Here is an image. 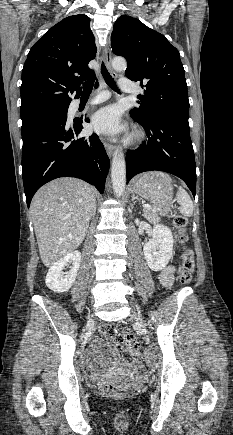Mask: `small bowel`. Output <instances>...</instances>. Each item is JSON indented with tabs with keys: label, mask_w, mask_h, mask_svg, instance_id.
<instances>
[{
	"label": "small bowel",
	"mask_w": 233,
	"mask_h": 435,
	"mask_svg": "<svg viewBox=\"0 0 233 435\" xmlns=\"http://www.w3.org/2000/svg\"><path fill=\"white\" fill-rule=\"evenodd\" d=\"M174 272L173 266H166L158 275L160 284L166 288H170L174 284ZM125 350L131 355L132 360L126 361L121 358L117 349L106 344L104 341H98L90 352L85 355L84 360L90 364L91 370L94 373H99L103 370L106 371H123L142 373L145 370L144 363L140 360V356L136 350L130 346L125 345ZM109 359L111 362L109 365H104L102 361Z\"/></svg>",
	"instance_id": "1"
}]
</instances>
